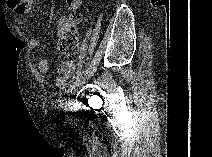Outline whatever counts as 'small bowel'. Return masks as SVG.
Returning a JSON list of instances; mask_svg holds the SVG:
<instances>
[{
    "mask_svg": "<svg viewBox=\"0 0 212 157\" xmlns=\"http://www.w3.org/2000/svg\"><path fill=\"white\" fill-rule=\"evenodd\" d=\"M69 9H76L79 7L80 2L78 0H68L67 1ZM7 6L16 14H24L27 11V4L23 0H8ZM69 26V21L65 16L60 17L57 20L56 29L57 33L60 34ZM39 46V40L31 39L30 40V47L32 49H36ZM50 68V64L48 59L42 58L38 61L37 70L38 73L41 75H45L48 73ZM75 70V66L73 62L70 61H63L58 67V75L55 78L54 85L56 88H64L67 81L73 75Z\"/></svg>",
    "mask_w": 212,
    "mask_h": 157,
    "instance_id": "1",
    "label": "small bowel"
}]
</instances>
